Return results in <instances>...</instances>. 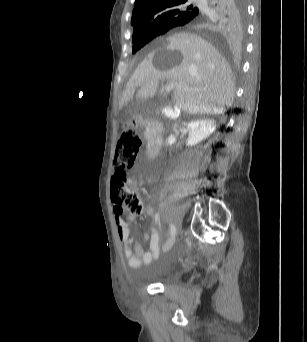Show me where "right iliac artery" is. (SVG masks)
Here are the masks:
<instances>
[{
  "label": "right iliac artery",
  "instance_id": "right-iliac-artery-1",
  "mask_svg": "<svg viewBox=\"0 0 307 342\" xmlns=\"http://www.w3.org/2000/svg\"><path fill=\"white\" fill-rule=\"evenodd\" d=\"M169 228H170V237L171 239H174L176 235V228L173 224H169Z\"/></svg>",
  "mask_w": 307,
  "mask_h": 342
}]
</instances>
